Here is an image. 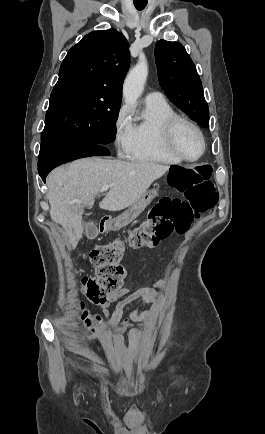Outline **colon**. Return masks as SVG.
<instances>
[{"mask_svg":"<svg viewBox=\"0 0 265 434\" xmlns=\"http://www.w3.org/2000/svg\"><path fill=\"white\" fill-rule=\"evenodd\" d=\"M212 176L209 164H172V168H167L171 189H180L184 199L162 197L139 226L109 244L92 248L88 261L97 268V274L81 278L84 297L92 304L107 301L123 284L126 268L122 259L128 248L151 247L174 234H184L201 213L215 209L219 195L211 182ZM86 319L97 327L102 323L95 314ZM78 320H85V317H78ZM84 328L87 335L96 332L93 325H84Z\"/></svg>","mask_w":265,"mask_h":434,"instance_id":"1","label":"colon"}]
</instances>
